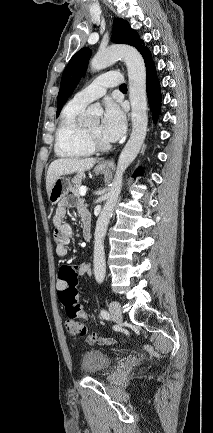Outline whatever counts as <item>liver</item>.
Returning a JSON list of instances; mask_svg holds the SVG:
<instances>
[{"instance_id": "obj_1", "label": "liver", "mask_w": 213, "mask_h": 433, "mask_svg": "<svg viewBox=\"0 0 213 433\" xmlns=\"http://www.w3.org/2000/svg\"><path fill=\"white\" fill-rule=\"evenodd\" d=\"M96 161L95 158H61L53 161L50 164L46 175L47 192L51 189L54 182L62 175L87 171L96 164Z\"/></svg>"}]
</instances>
